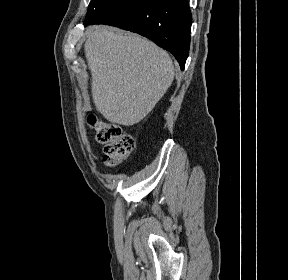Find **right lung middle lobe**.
Instances as JSON below:
<instances>
[{
  "label": "right lung middle lobe",
  "mask_w": 288,
  "mask_h": 280,
  "mask_svg": "<svg viewBox=\"0 0 288 280\" xmlns=\"http://www.w3.org/2000/svg\"><path fill=\"white\" fill-rule=\"evenodd\" d=\"M115 0H91L85 21L93 18L102 8L114 2Z\"/></svg>",
  "instance_id": "1"
}]
</instances>
